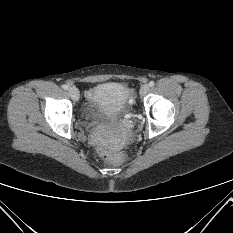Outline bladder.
Here are the masks:
<instances>
[{"label":"bladder","mask_w":233,"mask_h":233,"mask_svg":"<svg viewBox=\"0 0 233 233\" xmlns=\"http://www.w3.org/2000/svg\"><path fill=\"white\" fill-rule=\"evenodd\" d=\"M131 110L128 90L117 82L97 85L82 108L85 116L96 120H113Z\"/></svg>","instance_id":"1"}]
</instances>
